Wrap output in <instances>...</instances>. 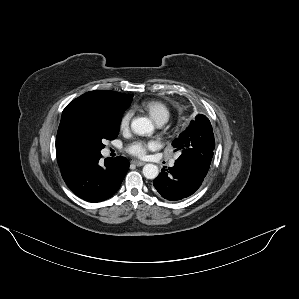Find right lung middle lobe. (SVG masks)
Here are the masks:
<instances>
[{"instance_id": "dd1d6c3e", "label": "right lung middle lobe", "mask_w": 299, "mask_h": 299, "mask_svg": "<svg viewBox=\"0 0 299 299\" xmlns=\"http://www.w3.org/2000/svg\"><path fill=\"white\" fill-rule=\"evenodd\" d=\"M130 105L126 103L115 112L85 107L77 110L69 122L72 141L84 153H100L104 140L117 137L122 113Z\"/></svg>"}]
</instances>
